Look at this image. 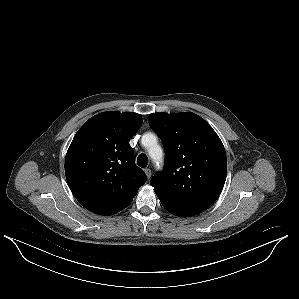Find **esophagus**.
Returning <instances> with one entry per match:
<instances>
[{"instance_id":"1","label":"esophagus","mask_w":299,"mask_h":299,"mask_svg":"<svg viewBox=\"0 0 299 299\" xmlns=\"http://www.w3.org/2000/svg\"><path fill=\"white\" fill-rule=\"evenodd\" d=\"M144 171H145V173H146V175H147V178L150 179V178H151V175H152L151 169L146 168Z\"/></svg>"}]
</instances>
